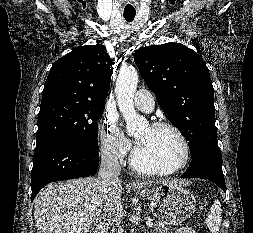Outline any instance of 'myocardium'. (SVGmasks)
<instances>
[{"label": "myocardium", "mask_w": 253, "mask_h": 233, "mask_svg": "<svg viewBox=\"0 0 253 233\" xmlns=\"http://www.w3.org/2000/svg\"><path fill=\"white\" fill-rule=\"evenodd\" d=\"M149 127L153 130L165 129V130H169V131L173 132L177 136L178 140L181 143L182 150H183L182 159L179 164H177L175 167H173L171 169L154 170V169L144 167L143 165H141L139 163L138 158H137V148L134 147L132 154H131V158H130L131 166L137 172H139L143 175H147V176H160V177L161 176H169V175H173V174L183 170L188 165L189 160H190V156H191L190 145H189V142H188L186 136L184 135V133L176 125H174L170 122H165V121L153 122L152 124H150Z\"/></svg>", "instance_id": "myocardium-1"}]
</instances>
